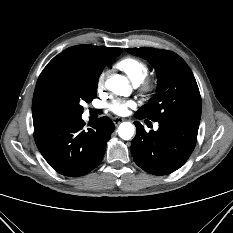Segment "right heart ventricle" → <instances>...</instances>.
<instances>
[{
  "mask_svg": "<svg viewBox=\"0 0 233 233\" xmlns=\"http://www.w3.org/2000/svg\"><path fill=\"white\" fill-rule=\"evenodd\" d=\"M116 68L123 72L134 84H140L148 73V65L145 61L136 57H124L116 63Z\"/></svg>",
  "mask_w": 233,
  "mask_h": 233,
  "instance_id": "obj_1",
  "label": "right heart ventricle"
}]
</instances>
